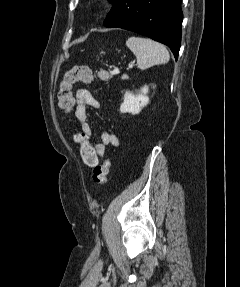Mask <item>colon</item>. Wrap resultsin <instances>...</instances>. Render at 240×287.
Masks as SVG:
<instances>
[{"label": "colon", "mask_w": 240, "mask_h": 287, "mask_svg": "<svg viewBox=\"0 0 240 287\" xmlns=\"http://www.w3.org/2000/svg\"><path fill=\"white\" fill-rule=\"evenodd\" d=\"M92 81L93 73L87 66H74L67 70L59 84L57 93L59 107L67 113L70 112L74 106L73 85ZM73 137L79 146L82 161L93 170V181L100 185H106L111 167L109 159H102L99 162L95 145L90 143L89 136L84 132L76 131Z\"/></svg>", "instance_id": "obj_1"}]
</instances>
